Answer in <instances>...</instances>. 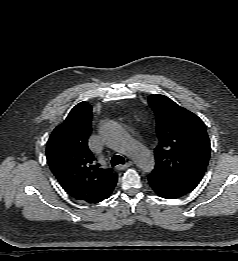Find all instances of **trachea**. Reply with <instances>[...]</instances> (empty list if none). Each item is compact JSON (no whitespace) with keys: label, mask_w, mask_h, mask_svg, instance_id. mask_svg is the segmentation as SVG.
<instances>
[{"label":"trachea","mask_w":238,"mask_h":261,"mask_svg":"<svg viewBox=\"0 0 238 261\" xmlns=\"http://www.w3.org/2000/svg\"><path fill=\"white\" fill-rule=\"evenodd\" d=\"M119 164H125V159L120 155H115L111 159V165L114 167Z\"/></svg>","instance_id":"3493384b"}]
</instances>
